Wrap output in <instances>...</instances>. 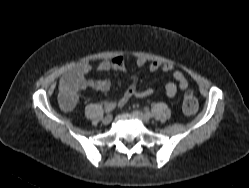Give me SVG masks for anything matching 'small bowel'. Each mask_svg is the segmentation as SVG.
Here are the masks:
<instances>
[{"instance_id":"1","label":"small bowel","mask_w":249,"mask_h":188,"mask_svg":"<svg viewBox=\"0 0 249 188\" xmlns=\"http://www.w3.org/2000/svg\"><path fill=\"white\" fill-rule=\"evenodd\" d=\"M135 63L137 66L141 67L145 65L146 61L143 58H137ZM90 70L91 66L88 62H81L67 70L60 79V94L71 92L75 102L74 107L77 103L78 93L80 91L87 88H92L96 91L106 92L111 87V83L108 79L92 80L86 78V75ZM98 70H115L120 73L126 74L124 58L121 56H117L110 60H103L98 65ZM149 70L151 72L163 71L172 75L178 85H176L174 82H167L164 85L165 92L169 98H174L176 96L178 88L182 91L188 88V81L185 75L180 70H177L172 64L152 61L149 64ZM129 78L131 80V85L118 100L119 107H123L124 105H126L134 96L145 98L151 96L154 93V90L151 88L139 89L137 87V77L135 75H130ZM61 106L64 110L67 111L74 108L68 107L62 99Z\"/></svg>"}]
</instances>
